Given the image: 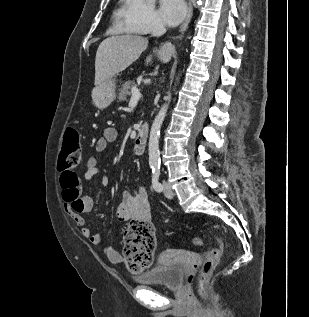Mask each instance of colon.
Wrapping results in <instances>:
<instances>
[{
	"label": "colon",
	"mask_w": 309,
	"mask_h": 317,
	"mask_svg": "<svg viewBox=\"0 0 309 317\" xmlns=\"http://www.w3.org/2000/svg\"><path fill=\"white\" fill-rule=\"evenodd\" d=\"M81 157L80 134L77 129L68 127L64 133L63 146L59 156L58 169L61 171L60 181L66 183V174L79 163ZM124 258L128 268L139 273L147 270L153 262L157 246L155 229L149 220H132L124 232ZM216 247L209 250L200 268L197 290L205 297L209 279L217 266L225 249L222 238L215 236ZM193 244L202 245L200 238H194Z\"/></svg>",
	"instance_id": "5ec220e1"
}]
</instances>
